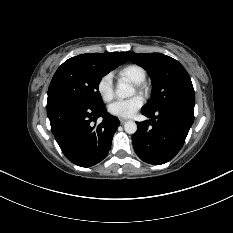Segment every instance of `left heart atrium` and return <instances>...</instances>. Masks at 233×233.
Segmentation results:
<instances>
[{
  "mask_svg": "<svg viewBox=\"0 0 233 233\" xmlns=\"http://www.w3.org/2000/svg\"><path fill=\"white\" fill-rule=\"evenodd\" d=\"M143 99L134 96L127 100H118L108 106V112L115 117L130 118L142 107Z\"/></svg>",
  "mask_w": 233,
  "mask_h": 233,
  "instance_id": "39dd6f15",
  "label": "left heart atrium"
}]
</instances>
